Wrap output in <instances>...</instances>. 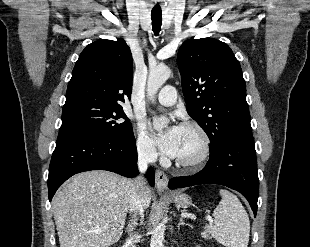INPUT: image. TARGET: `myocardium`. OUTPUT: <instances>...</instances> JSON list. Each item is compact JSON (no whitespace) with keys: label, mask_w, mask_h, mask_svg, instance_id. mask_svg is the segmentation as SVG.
Returning a JSON list of instances; mask_svg holds the SVG:
<instances>
[{"label":"myocardium","mask_w":310,"mask_h":247,"mask_svg":"<svg viewBox=\"0 0 310 247\" xmlns=\"http://www.w3.org/2000/svg\"><path fill=\"white\" fill-rule=\"evenodd\" d=\"M182 128L193 129L195 130L201 137L202 141V149L198 156L189 159L183 160L175 158L174 162L185 169H196L202 166L209 158L211 154V139L208 132L198 123L193 121H186L181 124Z\"/></svg>","instance_id":"obj_1"}]
</instances>
